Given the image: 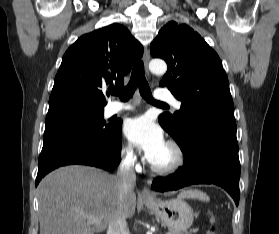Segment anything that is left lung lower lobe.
Wrapping results in <instances>:
<instances>
[{
  "mask_svg": "<svg viewBox=\"0 0 279 234\" xmlns=\"http://www.w3.org/2000/svg\"><path fill=\"white\" fill-rule=\"evenodd\" d=\"M184 165L176 173L153 180L156 191H171L192 184H216L224 188L238 206L240 162L236 123L208 120L196 123L190 132Z\"/></svg>",
  "mask_w": 279,
  "mask_h": 234,
  "instance_id": "1",
  "label": "left lung lower lobe"
}]
</instances>
